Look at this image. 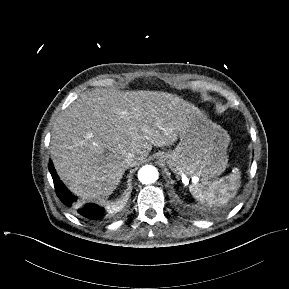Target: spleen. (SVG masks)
<instances>
[{
  "mask_svg": "<svg viewBox=\"0 0 289 289\" xmlns=\"http://www.w3.org/2000/svg\"><path fill=\"white\" fill-rule=\"evenodd\" d=\"M238 168H234L232 173L219 180H202L189 187L191 194L201 203L209 206H220L226 204L233 198L241 184V177Z\"/></svg>",
  "mask_w": 289,
  "mask_h": 289,
  "instance_id": "spleen-1",
  "label": "spleen"
}]
</instances>
